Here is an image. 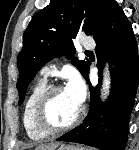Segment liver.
<instances>
[{
  "mask_svg": "<svg viewBox=\"0 0 139 150\" xmlns=\"http://www.w3.org/2000/svg\"><path fill=\"white\" fill-rule=\"evenodd\" d=\"M58 146L56 143L47 144V145H40L36 147L35 150H55V148Z\"/></svg>",
  "mask_w": 139,
  "mask_h": 150,
  "instance_id": "1",
  "label": "liver"
}]
</instances>
